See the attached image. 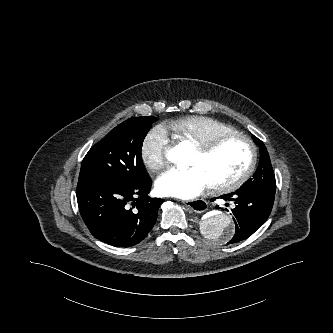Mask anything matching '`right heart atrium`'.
I'll use <instances>...</instances> for the list:
<instances>
[{
    "mask_svg": "<svg viewBox=\"0 0 333 333\" xmlns=\"http://www.w3.org/2000/svg\"><path fill=\"white\" fill-rule=\"evenodd\" d=\"M169 140L166 130L157 126L144 137L141 148V160L145 167L157 172L166 167L168 163L167 152Z\"/></svg>",
    "mask_w": 333,
    "mask_h": 333,
    "instance_id": "right-heart-atrium-1",
    "label": "right heart atrium"
}]
</instances>
